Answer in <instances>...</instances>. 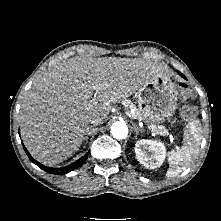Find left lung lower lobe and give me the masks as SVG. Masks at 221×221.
<instances>
[{
  "instance_id": "obj_1",
  "label": "left lung lower lobe",
  "mask_w": 221,
  "mask_h": 221,
  "mask_svg": "<svg viewBox=\"0 0 221 221\" xmlns=\"http://www.w3.org/2000/svg\"><path fill=\"white\" fill-rule=\"evenodd\" d=\"M182 77H184V75L183 74H181L180 72H178ZM185 78V77H184Z\"/></svg>"
}]
</instances>
